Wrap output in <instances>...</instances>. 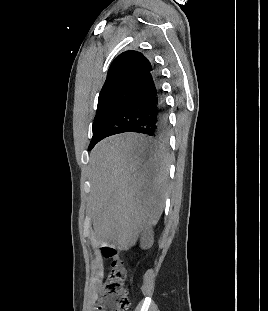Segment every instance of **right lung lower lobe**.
<instances>
[{"mask_svg":"<svg viewBox=\"0 0 268 311\" xmlns=\"http://www.w3.org/2000/svg\"><path fill=\"white\" fill-rule=\"evenodd\" d=\"M167 130L168 119L159 76L152 66L138 81L133 95L107 126L100 140L124 132L143 133L154 139H163Z\"/></svg>","mask_w":268,"mask_h":311,"instance_id":"obj_1","label":"right lung lower lobe"}]
</instances>
